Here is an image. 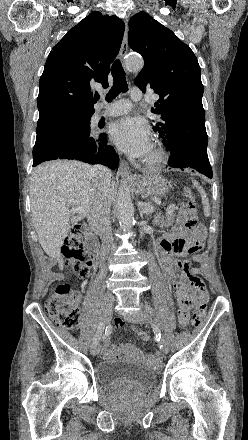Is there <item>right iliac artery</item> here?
I'll use <instances>...</instances> for the list:
<instances>
[{
  "instance_id": "obj_1",
  "label": "right iliac artery",
  "mask_w": 248,
  "mask_h": 440,
  "mask_svg": "<svg viewBox=\"0 0 248 440\" xmlns=\"http://www.w3.org/2000/svg\"><path fill=\"white\" fill-rule=\"evenodd\" d=\"M104 329H105V324H104V322H100V323L98 324V326H97V331H96V334H95V336H94V338H93V343H94V344L99 343L100 337H101V335H102ZM106 330H107V328H106Z\"/></svg>"
}]
</instances>
